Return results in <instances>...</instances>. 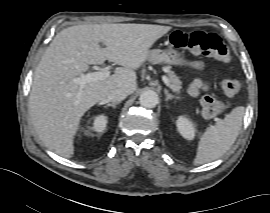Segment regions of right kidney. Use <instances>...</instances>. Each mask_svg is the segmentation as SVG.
<instances>
[{
	"label": "right kidney",
	"instance_id": "ca27d5eb",
	"mask_svg": "<svg viewBox=\"0 0 270 213\" xmlns=\"http://www.w3.org/2000/svg\"><path fill=\"white\" fill-rule=\"evenodd\" d=\"M107 116L104 114L98 115L94 118L93 126L90 127L91 130L96 132H103L107 125Z\"/></svg>",
	"mask_w": 270,
	"mask_h": 213
}]
</instances>
